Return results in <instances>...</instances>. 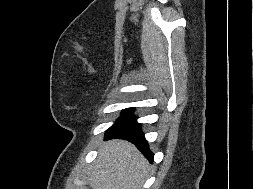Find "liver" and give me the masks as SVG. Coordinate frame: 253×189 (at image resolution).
<instances>
[{
    "label": "liver",
    "mask_w": 253,
    "mask_h": 189,
    "mask_svg": "<svg viewBox=\"0 0 253 189\" xmlns=\"http://www.w3.org/2000/svg\"><path fill=\"white\" fill-rule=\"evenodd\" d=\"M149 169L133 144L110 140L99 149L89 180L92 189H140Z\"/></svg>",
    "instance_id": "1"
}]
</instances>
